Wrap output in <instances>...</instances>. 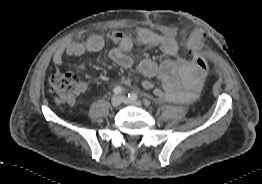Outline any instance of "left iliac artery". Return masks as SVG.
Instances as JSON below:
<instances>
[{
    "label": "left iliac artery",
    "instance_id": "obj_1",
    "mask_svg": "<svg viewBox=\"0 0 262 184\" xmlns=\"http://www.w3.org/2000/svg\"><path fill=\"white\" fill-rule=\"evenodd\" d=\"M128 97H129L130 99L135 100V99L138 98V95H137L136 93H130V94H128Z\"/></svg>",
    "mask_w": 262,
    "mask_h": 184
}]
</instances>
